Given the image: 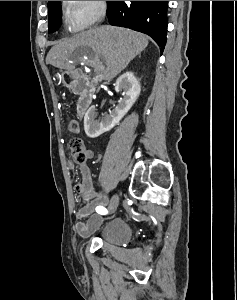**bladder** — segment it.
I'll return each mask as SVG.
<instances>
[{
    "mask_svg": "<svg viewBox=\"0 0 237 300\" xmlns=\"http://www.w3.org/2000/svg\"><path fill=\"white\" fill-rule=\"evenodd\" d=\"M130 225L120 217L106 222L98 231V238L109 244L123 245L131 239Z\"/></svg>",
    "mask_w": 237,
    "mask_h": 300,
    "instance_id": "obj_1",
    "label": "bladder"
}]
</instances>
